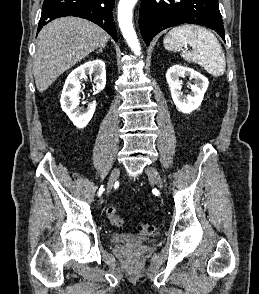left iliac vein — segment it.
Wrapping results in <instances>:
<instances>
[{"mask_svg": "<svg viewBox=\"0 0 259 294\" xmlns=\"http://www.w3.org/2000/svg\"><path fill=\"white\" fill-rule=\"evenodd\" d=\"M145 172L149 180L154 182L158 188L162 189L163 182L158 171L153 166H149L146 168Z\"/></svg>", "mask_w": 259, "mask_h": 294, "instance_id": "1", "label": "left iliac vein"}]
</instances>
